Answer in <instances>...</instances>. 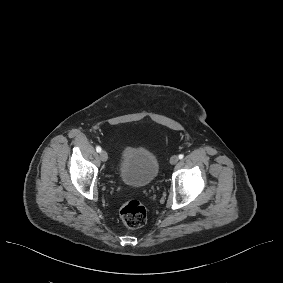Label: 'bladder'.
I'll return each mask as SVG.
<instances>
[{"label":"bladder","mask_w":283,"mask_h":283,"mask_svg":"<svg viewBox=\"0 0 283 283\" xmlns=\"http://www.w3.org/2000/svg\"><path fill=\"white\" fill-rule=\"evenodd\" d=\"M123 161L122 170L118 169L121 182L139 188L150 185L155 179L160 161L147 148L135 147Z\"/></svg>","instance_id":"1"}]
</instances>
